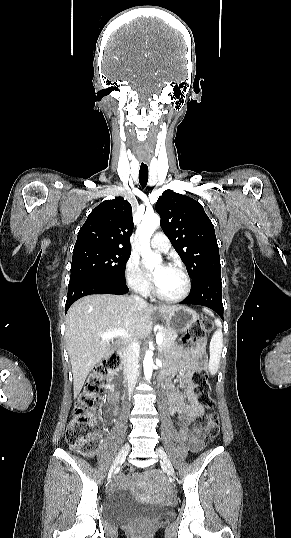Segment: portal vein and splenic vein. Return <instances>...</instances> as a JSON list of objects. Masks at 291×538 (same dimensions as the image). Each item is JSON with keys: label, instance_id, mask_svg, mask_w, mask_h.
Instances as JSON below:
<instances>
[{"label": "portal vein and splenic vein", "instance_id": "18ae733b", "mask_svg": "<svg viewBox=\"0 0 291 538\" xmlns=\"http://www.w3.org/2000/svg\"><path fill=\"white\" fill-rule=\"evenodd\" d=\"M127 334L125 333L124 330H121V329H115V330H112V331H109V332H106V333H103L101 334V338L103 339H107V340H110L112 338H115V337H119V336H126ZM163 342V337H162V334L161 333H157L156 335V343L158 345H161Z\"/></svg>", "mask_w": 291, "mask_h": 538}]
</instances>
